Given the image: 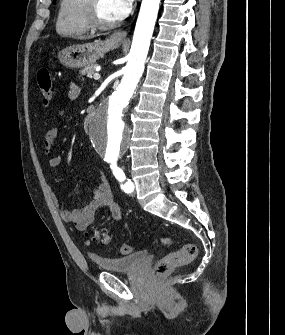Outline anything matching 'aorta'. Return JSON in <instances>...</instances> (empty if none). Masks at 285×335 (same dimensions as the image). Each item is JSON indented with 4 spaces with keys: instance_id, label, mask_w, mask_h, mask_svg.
Masks as SVG:
<instances>
[{
    "instance_id": "obj_1",
    "label": "aorta",
    "mask_w": 285,
    "mask_h": 335,
    "mask_svg": "<svg viewBox=\"0 0 285 335\" xmlns=\"http://www.w3.org/2000/svg\"><path fill=\"white\" fill-rule=\"evenodd\" d=\"M160 0H143L133 36L128 62L118 90H111L106 100H101L93 112L86 134L93 137L92 147H98L97 156L102 160H119L129 151L132 130L124 125L122 112L127 102H132L135 88L144 72Z\"/></svg>"
}]
</instances>
